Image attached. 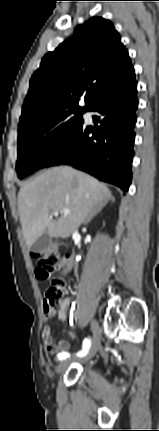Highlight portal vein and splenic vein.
I'll use <instances>...</instances> for the list:
<instances>
[{"instance_id":"obj_1","label":"portal vein and splenic vein","mask_w":159,"mask_h":431,"mask_svg":"<svg viewBox=\"0 0 159 431\" xmlns=\"http://www.w3.org/2000/svg\"><path fill=\"white\" fill-rule=\"evenodd\" d=\"M65 215H67V214H69L70 213V211L68 210V209H64L63 211H62ZM59 215V212L58 211H54L53 213H52V216H54V217H57Z\"/></svg>"}]
</instances>
